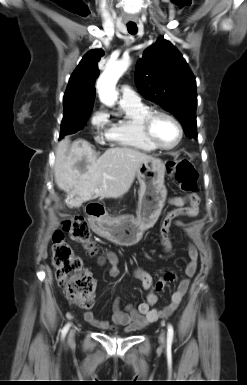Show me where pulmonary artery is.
Listing matches in <instances>:
<instances>
[{
    "instance_id": "obj_1",
    "label": "pulmonary artery",
    "mask_w": 247,
    "mask_h": 385,
    "mask_svg": "<svg viewBox=\"0 0 247 385\" xmlns=\"http://www.w3.org/2000/svg\"><path fill=\"white\" fill-rule=\"evenodd\" d=\"M140 102V97L130 87L123 85L121 88L120 103L137 104Z\"/></svg>"
}]
</instances>
